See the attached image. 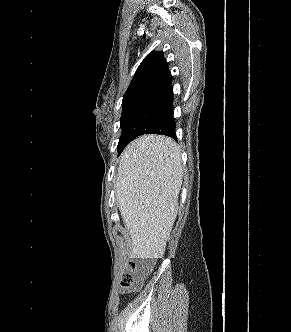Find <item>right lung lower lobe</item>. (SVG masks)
Returning <instances> with one entry per match:
<instances>
[{
    "label": "right lung lower lobe",
    "instance_id": "1",
    "mask_svg": "<svg viewBox=\"0 0 291 332\" xmlns=\"http://www.w3.org/2000/svg\"><path fill=\"white\" fill-rule=\"evenodd\" d=\"M173 95L170 81L143 98L124 131L125 140L119 154L131 140L142 134L152 133L176 137Z\"/></svg>",
    "mask_w": 291,
    "mask_h": 332
}]
</instances>
